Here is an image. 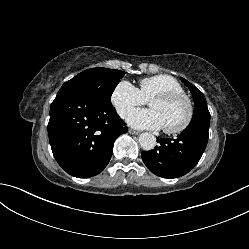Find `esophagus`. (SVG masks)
<instances>
[{"label":"esophagus","instance_id":"esophagus-1","mask_svg":"<svg viewBox=\"0 0 249 249\" xmlns=\"http://www.w3.org/2000/svg\"><path fill=\"white\" fill-rule=\"evenodd\" d=\"M128 132H129L130 134H133V135H137V134H139V132H138V131L133 130V129H129V130H128Z\"/></svg>","mask_w":249,"mask_h":249}]
</instances>
